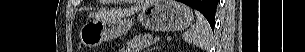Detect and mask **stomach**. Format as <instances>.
<instances>
[{"label":"stomach","instance_id":"stomach-1","mask_svg":"<svg viewBox=\"0 0 305 52\" xmlns=\"http://www.w3.org/2000/svg\"><path fill=\"white\" fill-rule=\"evenodd\" d=\"M192 10L175 0H151L137 15L119 19L93 20L84 24L79 33L83 46L93 49L125 35L137 21L143 27L155 31H182L193 22Z\"/></svg>","mask_w":305,"mask_h":52}]
</instances>
